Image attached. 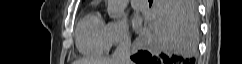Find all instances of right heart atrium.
<instances>
[{"instance_id":"obj_1","label":"right heart atrium","mask_w":242,"mask_h":64,"mask_svg":"<svg viewBox=\"0 0 242 64\" xmlns=\"http://www.w3.org/2000/svg\"><path fill=\"white\" fill-rule=\"evenodd\" d=\"M107 37L110 46L125 45L130 42L127 23L124 19L114 20L107 24Z\"/></svg>"}]
</instances>
